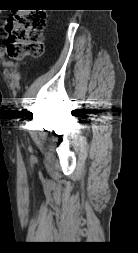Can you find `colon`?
I'll return each mask as SVG.
<instances>
[{
    "label": "colon",
    "mask_w": 138,
    "mask_h": 253,
    "mask_svg": "<svg viewBox=\"0 0 138 253\" xmlns=\"http://www.w3.org/2000/svg\"><path fill=\"white\" fill-rule=\"evenodd\" d=\"M46 15L43 12L21 11L8 19L7 53L10 57L39 56L43 52V31Z\"/></svg>",
    "instance_id": "1"
}]
</instances>
